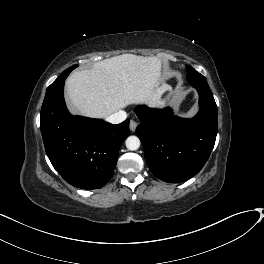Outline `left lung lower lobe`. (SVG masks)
<instances>
[{"instance_id": "left-lung-lower-lobe-1", "label": "left lung lower lobe", "mask_w": 264, "mask_h": 264, "mask_svg": "<svg viewBox=\"0 0 264 264\" xmlns=\"http://www.w3.org/2000/svg\"><path fill=\"white\" fill-rule=\"evenodd\" d=\"M199 93L200 111L192 119L171 109L137 106L136 132L150 171L159 179L178 183L196 175L208 160L217 135V106L206 79H188Z\"/></svg>"}]
</instances>
